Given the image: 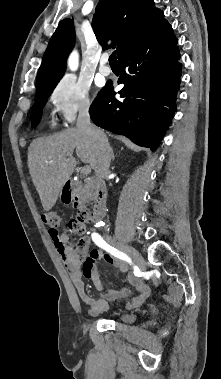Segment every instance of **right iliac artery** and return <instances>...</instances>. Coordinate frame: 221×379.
Segmentation results:
<instances>
[{"mask_svg": "<svg viewBox=\"0 0 221 379\" xmlns=\"http://www.w3.org/2000/svg\"><path fill=\"white\" fill-rule=\"evenodd\" d=\"M92 240L94 243L101 247L102 249L106 250L108 253L114 255L115 257L122 259L124 261H127L128 263H132L129 256H127L125 253L115 249L114 247H111L109 244H107L104 239L98 234V233H92L91 235Z\"/></svg>", "mask_w": 221, "mask_h": 379, "instance_id": "obj_1", "label": "right iliac artery"}]
</instances>
